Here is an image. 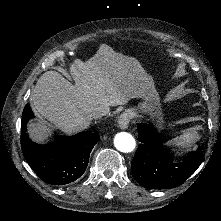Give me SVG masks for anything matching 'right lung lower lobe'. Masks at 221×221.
I'll list each match as a JSON object with an SVG mask.
<instances>
[{"mask_svg":"<svg viewBox=\"0 0 221 221\" xmlns=\"http://www.w3.org/2000/svg\"><path fill=\"white\" fill-rule=\"evenodd\" d=\"M33 117L27 104L22 115L21 148L32 170L45 183L52 185H65L81 177L99 136L81 132L70 137L57 136L53 143L40 145L33 142L26 132V125Z\"/></svg>","mask_w":221,"mask_h":221,"instance_id":"1","label":"right lung lower lobe"}]
</instances>
